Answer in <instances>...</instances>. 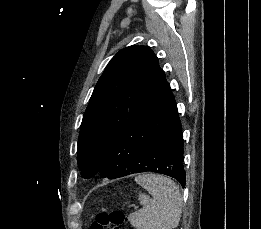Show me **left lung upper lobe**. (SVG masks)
Wrapping results in <instances>:
<instances>
[{
	"instance_id": "1",
	"label": "left lung upper lobe",
	"mask_w": 261,
	"mask_h": 229,
	"mask_svg": "<svg viewBox=\"0 0 261 229\" xmlns=\"http://www.w3.org/2000/svg\"><path fill=\"white\" fill-rule=\"evenodd\" d=\"M165 83L158 58L149 47L130 46L111 59L80 127L77 158L83 178L98 173L112 144Z\"/></svg>"
}]
</instances>
